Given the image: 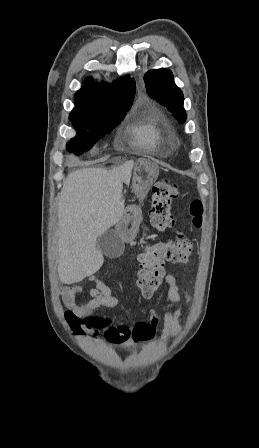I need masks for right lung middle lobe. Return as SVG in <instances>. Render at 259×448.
I'll use <instances>...</instances> for the list:
<instances>
[{
  "instance_id": "dd1d6c3e",
  "label": "right lung middle lobe",
  "mask_w": 259,
  "mask_h": 448,
  "mask_svg": "<svg viewBox=\"0 0 259 448\" xmlns=\"http://www.w3.org/2000/svg\"><path fill=\"white\" fill-rule=\"evenodd\" d=\"M128 110L129 108L70 115L69 119L77 135L67 143V150L76 155L87 152L99 139L119 124Z\"/></svg>"
}]
</instances>
